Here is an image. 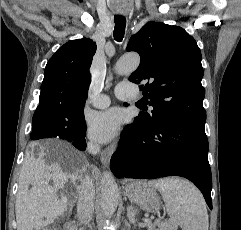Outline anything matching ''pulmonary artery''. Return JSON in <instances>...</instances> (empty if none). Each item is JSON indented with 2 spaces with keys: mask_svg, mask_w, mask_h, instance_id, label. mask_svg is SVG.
<instances>
[{
  "mask_svg": "<svg viewBox=\"0 0 241 230\" xmlns=\"http://www.w3.org/2000/svg\"><path fill=\"white\" fill-rule=\"evenodd\" d=\"M116 96L120 99L136 100L139 93L137 87L133 83H120L115 90ZM110 104V99L107 95H99L93 100V106L96 108H106Z\"/></svg>",
  "mask_w": 241,
  "mask_h": 230,
  "instance_id": "1",
  "label": "pulmonary artery"
}]
</instances>
